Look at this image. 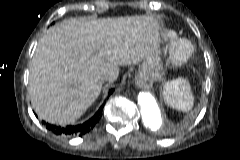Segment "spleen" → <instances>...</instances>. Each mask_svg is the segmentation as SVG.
Segmentation results:
<instances>
[{
  "mask_svg": "<svg viewBox=\"0 0 240 160\" xmlns=\"http://www.w3.org/2000/svg\"><path fill=\"white\" fill-rule=\"evenodd\" d=\"M164 99L173 108L188 111L193 107L191 87L186 79H176L165 85Z\"/></svg>",
  "mask_w": 240,
  "mask_h": 160,
  "instance_id": "obj_1",
  "label": "spleen"
}]
</instances>
